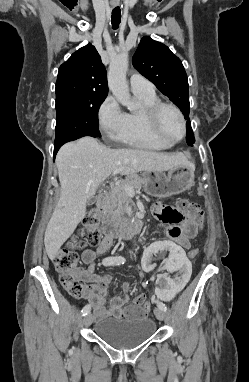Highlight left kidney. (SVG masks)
Listing matches in <instances>:
<instances>
[{"label":"left kidney","mask_w":249,"mask_h":382,"mask_svg":"<svg viewBox=\"0 0 249 382\" xmlns=\"http://www.w3.org/2000/svg\"><path fill=\"white\" fill-rule=\"evenodd\" d=\"M144 260H139L143 273H153L151 282L156 287L154 298L164 302L166 298H172L173 293H182L183 288L191 280L192 262L187 258L182 245H176L175 240H155L153 245L145 246ZM155 257H165L166 260L160 266H155ZM164 269V270H163Z\"/></svg>","instance_id":"5707ae66"}]
</instances>
